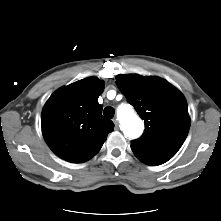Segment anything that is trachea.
Here are the masks:
<instances>
[{
    "mask_svg": "<svg viewBox=\"0 0 221 221\" xmlns=\"http://www.w3.org/2000/svg\"><path fill=\"white\" fill-rule=\"evenodd\" d=\"M103 114L106 118L108 119H112L114 117L115 111L114 108L111 106H107L104 111Z\"/></svg>",
    "mask_w": 221,
    "mask_h": 221,
    "instance_id": "1",
    "label": "trachea"
}]
</instances>
